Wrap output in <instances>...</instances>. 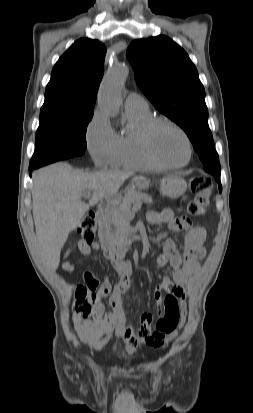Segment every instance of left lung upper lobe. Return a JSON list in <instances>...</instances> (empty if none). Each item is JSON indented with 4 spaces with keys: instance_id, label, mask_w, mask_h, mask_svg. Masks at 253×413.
<instances>
[{
    "instance_id": "5c2ea615",
    "label": "left lung upper lobe",
    "mask_w": 253,
    "mask_h": 413,
    "mask_svg": "<svg viewBox=\"0 0 253 413\" xmlns=\"http://www.w3.org/2000/svg\"><path fill=\"white\" fill-rule=\"evenodd\" d=\"M126 56L139 88L161 113L186 132L205 171L220 175L208 126L205 90L187 53L169 37L159 35L133 41Z\"/></svg>"
}]
</instances>
